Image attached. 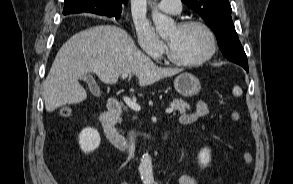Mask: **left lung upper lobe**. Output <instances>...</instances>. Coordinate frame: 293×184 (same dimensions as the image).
<instances>
[{"label":"left lung upper lobe","instance_id":"5c2ea615","mask_svg":"<svg viewBox=\"0 0 293 184\" xmlns=\"http://www.w3.org/2000/svg\"><path fill=\"white\" fill-rule=\"evenodd\" d=\"M182 2L211 26L218 45L228 60L247 58L232 22V9L228 0H182Z\"/></svg>","mask_w":293,"mask_h":184}]
</instances>
